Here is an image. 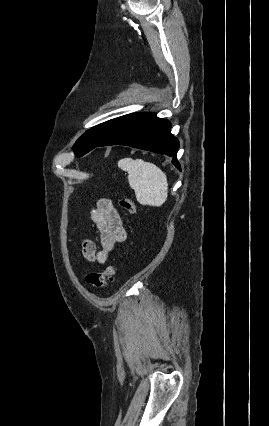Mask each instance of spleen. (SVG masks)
Here are the masks:
<instances>
[{
  "label": "spleen",
  "instance_id": "spleen-1",
  "mask_svg": "<svg viewBox=\"0 0 269 426\" xmlns=\"http://www.w3.org/2000/svg\"><path fill=\"white\" fill-rule=\"evenodd\" d=\"M118 167L126 171L130 187L142 205L161 206L168 196V181L165 173L156 165L142 159L124 158Z\"/></svg>",
  "mask_w": 269,
  "mask_h": 426
}]
</instances>
